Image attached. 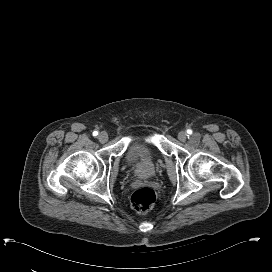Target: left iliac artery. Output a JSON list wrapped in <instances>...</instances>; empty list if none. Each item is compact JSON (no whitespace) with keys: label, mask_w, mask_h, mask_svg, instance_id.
<instances>
[{"label":"left iliac artery","mask_w":272,"mask_h":272,"mask_svg":"<svg viewBox=\"0 0 272 272\" xmlns=\"http://www.w3.org/2000/svg\"><path fill=\"white\" fill-rule=\"evenodd\" d=\"M187 133H188L189 135H191V134H192V130H191V129H188V130H187Z\"/></svg>","instance_id":"1"}]
</instances>
